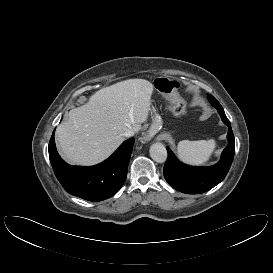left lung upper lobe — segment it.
<instances>
[{
	"instance_id": "5c2ea615",
	"label": "left lung upper lobe",
	"mask_w": 273,
	"mask_h": 273,
	"mask_svg": "<svg viewBox=\"0 0 273 273\" xmlns=\"http://www.w3.org/2000/svg\"><path fill=\"white\" fill-rule=\"evenodd\" d=\"M208 100L215 108H222L220 103L212 95H208Z\"/></svg>"
}]
</instances>
